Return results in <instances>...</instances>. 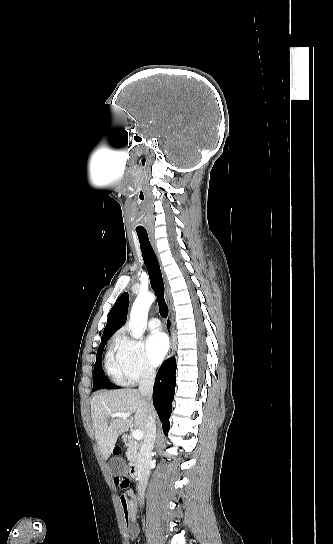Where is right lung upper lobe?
I'll list each match as a JSON object with an SVG mask.
<instances>
[{
  "mask_svg": "<svg viewBox=\"0 0 333 544\" xmlns=\"http://www.w3.org/2000/svg\"><path fill=\"white\" fill-rule=\"evenodd\" d=\"M128 305L129 296L128 293H124L117 299L109 313L107 324L105 326L101 340L109 338L116 330H118L125 324Z\"/></svg>",
  "mask_w": 333,
  "mask_h": 544,
  "instance_id": "1",
  "label": "right lung upper lobe"
}]
</instances>
